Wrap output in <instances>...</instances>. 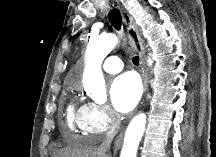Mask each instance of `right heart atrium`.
<instances>
[{
  "label": "right heart atrium",
  "mask_w": 216,
  "mask_h": 157,
  "mask_svg": "<svg viewBox=\"0 0 216 157\" xmlns=\"http://www.w3.org/2000/svg\"><path fill=\"white\" fill-rule=\"evenodd\" d=\"M116 121L109 107L88 103L80 118V128L89 135H106L113 130Z\"/></svg>",
  "instance_id": "right-heart-atrium-1"
}]
</instances>
